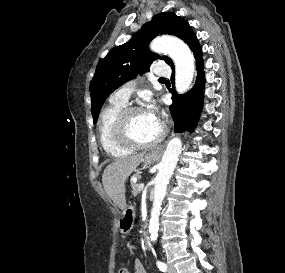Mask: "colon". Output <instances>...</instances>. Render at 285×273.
Here are the masks:
<instances>
[{
  "label": "colon",
  "mask_w": 285,
  "mask_h": 273,
  "mask_svg": "<svg viewBox=\"0 0 285 273\" xmlns=\"http://www.w3.org/2000/svg\"><path fill=\"white\" fill-rule=\"evenodd\" d=\"M124 269H125V268H121V269L119 270V273H124Z\"/></svg>",
  "instance_id": "colon-1"
}]
</instances>
